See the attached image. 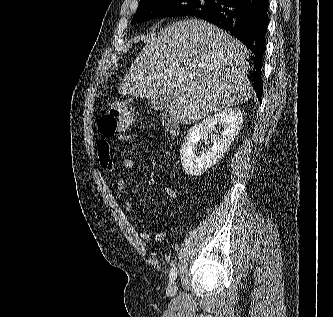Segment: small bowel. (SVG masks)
Masks as SVG:
<instances>
[{
	"label": "small bowel",
	"mask_w": 333,
	"mask_h": 317,
	"mask_svg": "<svg viewBox=\"0 0 333 317\" xmlns=\"http://www.w3.org/2000/svg\"><path fill=\"white\" fill-rule=\"evenodd\" d=\"M121 141H129L130 135L122 134L120 137ZM97 156L99 160L100 166L108 171L114 172V164L111 158V147L109 142L106 139H100L97 143ZM136 163L134 157H127L123 162V166L126 170H131ZM117 190L121 196L122 203H123V210L128 216H133L134 207L132 202L129 200L127 193H126V183L123 179H118L116 181ZM164 193L172 200L176 201L178 196L177 192L171 186H166L164 188ZM138 236L143 241H156L160 242L164 240L165 233L159 232L154 235L148 233L147 231H138Z\"/></svg>",
	"instance_id": "1"
}]
</instances>
